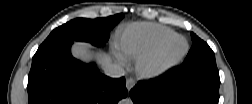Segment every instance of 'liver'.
Listing matches in <instances>:
<instances>
[{
    "label": "liver",
    "mask_w": 252,
    "mask_h": 104,
    "mask_svg": "<svg viewBox=\"0 0 252 104\" xmlns=\"http://www.w3.org/2000/svg\"><path fill=\"white\" fill-rule=\"evenodd\" d=\"M91 48L92 47L89 44L78 42L73 45L72 53L75 57L84 62H89L95 58L102 67L112 61L111 57L103 51H98L97 55H94L93 52L90 51Z\"/></svg>",
    "instance_id": "liver-1"
}]
</instances>
